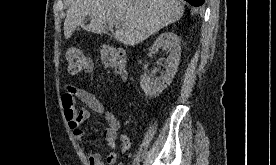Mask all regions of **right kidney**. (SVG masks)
Wrapping results in <instances>:
<instances>
[{
	"label": "right kidney",
	"instance_id": "obj_1",
	"mask_svg": "<svg viewBox=\"0 0 276 165\" xmlns=\"http://www.w3.org/2000/svg\"><path fill=\"white\" fill-rule=\"evenodd\" d=\"M159 49L167 51L168 57L164 62L165 72L155 80L151 81L150 77L144 73L140 78V86L146 96H158L164 89L172 83L180 63L181 46L179 37L173 32H165L157 37L152 45V51L158 52ZM148 64L144 65L146 70Z\"/></svg>",
	"mask_w": 276,
	"mask_h": 165
}]
</instances>
